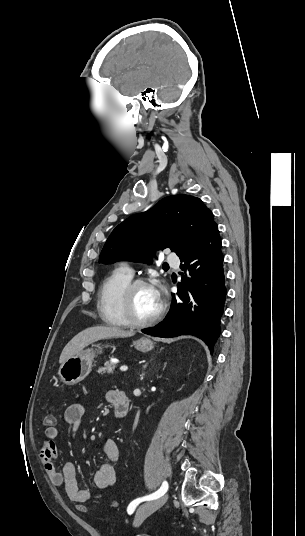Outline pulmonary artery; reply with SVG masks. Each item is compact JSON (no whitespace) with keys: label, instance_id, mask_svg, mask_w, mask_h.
Segmentation results:
<instances>
[{"label":"pulmonary artery","instance_id":"e3ab8cb5","mask_svg":"<svg viewBox=\"0 0 305 536\" xmlns=\"http://www.w3.org/2000/svg\"><path fill=\"white\" fill-rule=\"evenodd\" d=\"M168 260L170 263H172V265L175 267V268H178L179 267V257L177 254L175 253H172L169 255L168 257ZM120 269L125 273L127 274L128 276L130 277H133L134 275V271L131 267L127 266V265H124V266H121Z\"/></svg>","mask_w":305,"mask_h":536}]
</instances>
